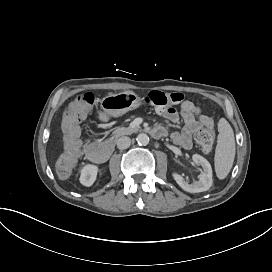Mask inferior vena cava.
Here are the masks:
<instances>
[{
    "mask_svg": "<svg viewBox=\"0 0 272 272\" xmlns=\"http://www.w3.org/2000/svg\"><path fill=\"white\" fill-rule=\"evenodd\" d=\"M131 144V139L128 136H122L117 141V147L119 149H127Z\"/></svg>",
    "mask_w": 272,
    "mask_h": 272,
    "instance_id": "obj_1",
    "label": "inferior vena cava"
}]
</instances>
